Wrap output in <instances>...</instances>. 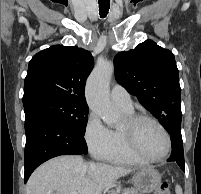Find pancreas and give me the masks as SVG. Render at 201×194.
<instances>
[{
  "label": "pancreas",
  "instance_id": "1",
  "mask_svg": "<svg viewBox=\"0 0 201 194\" xmlns=\"http://www.w3.org/2000/svg\"><path fill=\"white\" fill-rule=\"evenodd\" d=\"M123 194H139L136 189H127L123 192Z\"/></svg>",
  "mask_w": 201,
  "mask_h": 194
}]
</instances>
